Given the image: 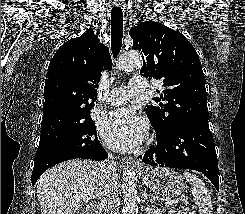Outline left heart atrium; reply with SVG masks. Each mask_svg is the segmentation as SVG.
Wrapping results in <instances>:
<instances>
[{
	"label": "left heart atrium",
	"instance_id": "left-heart-atrium-1",
	"mask_svg": "<svg viewBox=\"0 0 245 214\" xmlns=\"http://www.w3.org/2000/svg\"><path fill=\"white\" fill-rule=\"evenodd\" d=\"M98 128L107 146L121 152L138 147L148 130L146 121L130 107L103 114Z\"/></svg>",
	"mask_w": 245,
	"mask_h": 214
}]
</instances>
